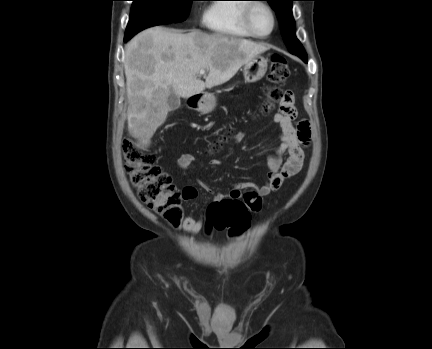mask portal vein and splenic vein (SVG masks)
I'll use <instances>...</instances> for the list:
<instances>
[{"instance_id": "1", "label": "portal vein and splenic vein", "mask_w": 432, "mask_h": 349, "mask_svg": "<svg viewBox=\"0 0 432 349\" xmlns=\"http://www.w3.org/2000/svg\"><path fill=\"white\" fill-rule=\"evenodd\" d=\"M205 74V70H200L199 75L202 76Z\"/></svg>"}]
</instances>
